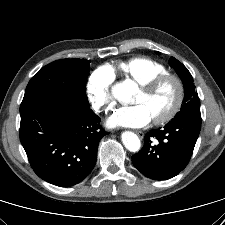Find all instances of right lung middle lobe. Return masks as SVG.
Instances as JSON below:
<instances>
[{"label":"right lung middle lobe","instance_id":"right-lung-middle-lobe-1","mask_svg":"<svg viewBox=\"0 0 225 225\" xmlns=\"http://www.w3.org/2000/svg\"><path fill=\"white\" fill-rule=\"evenodd\" d=\"M90 61L62 59L39 70L29 81L23 100L32 98L60 99L90 109L85 94Z\"/></svg>","mask_w":225,"mask_h":225}]
</instances>
